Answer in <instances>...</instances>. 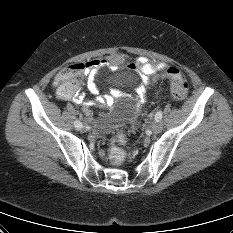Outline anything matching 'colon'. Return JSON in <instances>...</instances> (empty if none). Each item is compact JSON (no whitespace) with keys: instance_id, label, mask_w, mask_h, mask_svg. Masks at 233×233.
<instances>
[{"instance_id":"colon-1","label":"colon","mask_w":233,"mask_h":233,"mask_svg":"<svg viewBox=\"0 0 233 233\" xmlns=\"http://www.w3.org/2000/svg\"><path fill=\"white\" fill-rule=\"evenodd\" d=\"M84 64H74L63 68L55 76L58 89L63 94H71L79 89L84 73ZM164 72L171 78V93L176 99H184L189 91V82L182 77L178 69L169 66ZM126 142V134L120 130L110 146V161L114 165H121L126 159L122 145Z\"/></svg>"}]
</instances>
